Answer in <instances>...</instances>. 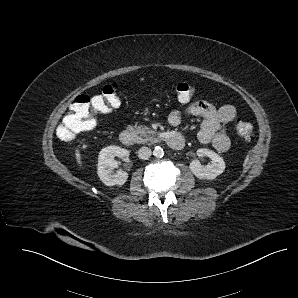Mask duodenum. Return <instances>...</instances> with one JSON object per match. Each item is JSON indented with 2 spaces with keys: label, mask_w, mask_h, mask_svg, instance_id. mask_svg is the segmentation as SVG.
Masks as SVG:
<instances>
[{
  "label": "duodenum",
  "mask_w": 298,
  "mask_h": 298,
  "mask_svg": "<svg viewBox=\"0 0 298 298\" xmlns=\"http://www.w3.org/2000/svg\"><path fill=\"white\" fill-rule=\"evenodd\" d=\"M119 140L127 146L133 145L136 141L135 134L130 129H124L119 134ZM168 146L174 150H180L185 145V139L182 135L177 133L169 134L166 137Z\"/></svg>",
  "instance_id": "duodenum-1"
}]
</instances>
